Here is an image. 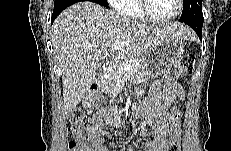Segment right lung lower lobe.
Instances as JSON below:
<instances>
[{"label": "right lung lower lobe", "instance_id": "right-lung-lower-lobe-1", "mask_svg": "<svg viewBox=\"0 0 231 151\" xmlns=\"http://www.w3.org/2000/svg\"><path fill=\"white\" fill-rule=\"evenodd\" d=\"M79 2V0H55L54 3V11L52 14V18H51V23L54 22L55 18L68 6ZM92 2H95L97 4H99L97 2V0H92Z\"/></svg>", "mask_w": 231, "mask_h": 151}]
</instances>
